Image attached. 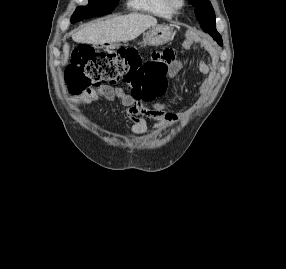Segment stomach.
<instances>
[{"mask_svg": "<svg viewBox=\"0 0 286 269\" xmlns=\"http://www.w3.org/2000/svg\"><path fill=\"white\" fill-rule=\"evenodd\" d=\"M173 37L172 28L167 25L151 27L143 35V42L151 46H159L169 42Z\"/></svg>", "mask_w": 286, "mask_h": 269, "instance_id": "obj_1", "label": "stomach"}]
</instances>
